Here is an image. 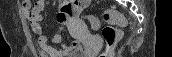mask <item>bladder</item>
Returning a JSON list of instances; mask_svg holds the SVG:
<instances>
[{
	"instance_id": "1",
	"label": "bladder",
	"mask_w": 172,
	"mask_h": 57,
	"mask_svg": "<svg viewBox=\"0 0 172 57\" xmlns=\"http://www.w3.org/2000/svg\"><path fill=\"white\" fill-rule=\"evenodd\" d=\"M67 57H87L84 53H76V54H72V55H68Z\"/></svg>"
}]
</instances>
